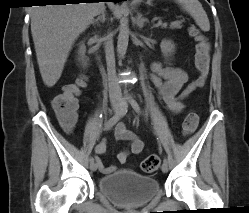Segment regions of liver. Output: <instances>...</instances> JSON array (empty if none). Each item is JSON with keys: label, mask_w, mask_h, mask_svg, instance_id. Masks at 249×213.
Returning <instances> with one entry per match:
<instances>
[{"label": "liver", "mask_w": 249, "mask_h": 213, "mask_svg": "<svg viewBox=\"0 0 249 213\" xmlns=\"http://www.w3.org/2000/svg\"><path fill=\"white\" fill-rule=\"evenodd\" d=\"M104 10V2L31 8V33L40 74L47 87H53L60 79L75 40Z\"/></svg>", "instance_id": "obj_1"}]
</instances>
